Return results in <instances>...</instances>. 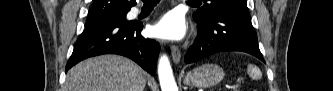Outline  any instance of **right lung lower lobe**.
<instances>
[{"label": "right lung lower lobe", "mask_w": 333, "mask_h": 91, "mask_svg": "<svg viewBox=\"0 0 333 91\" xmlns=\"http://www.w3.org/2000/svg\"><path fill=\"white\" fill-rule=\"evenodd\" d=\"M141 22L125 18L88 19L66 65L67 72L78 62L102 54L126 56L151 75H155L160 46L158 42L140 35Z\"/></svg>", "instance_id": "1"}]
</instances>
